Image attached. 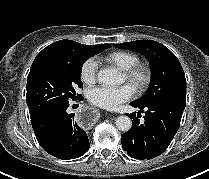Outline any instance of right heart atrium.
Listing matches in <instances>:
<instances>
[{
	"instance_id": "right-heart-atrium-1",
	"label": "right heart atrium",
	"mask_w": 209,
	"mask_h": 179,
	"mask_svg": "<svg viewBox=\"0 0 209 179\" xmlns=\"http://www.w3.org/2000/svg\"><path fill=\"white\" fill-rule=\"evenodd\" d=\"M98 63L95 59H87L80 68V78L86 85H92L96 81Z\"/></svg>"
}]
</instances>
